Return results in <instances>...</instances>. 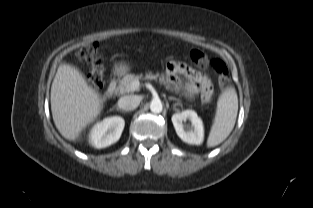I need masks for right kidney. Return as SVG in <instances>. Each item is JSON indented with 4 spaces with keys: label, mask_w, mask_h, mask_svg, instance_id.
Here are the masks:
<instances>
[{
    "label": "right kidney",
    "mask_w": 313,
    "mask_h": 208,
    "mask_svg": "<svg viewBox=\"0 0 313 208\" xmlns=\"http://www.w3.org/2000/svg\"><path fill=\"white\" fill-rule=\"evenodd\" d=\"M124 126L125 121L120 116L105 118L92 128L89 143L97 149L108 147L120 139Z\"/></svg>",
    "instance_id": "1"
}]
</instances>
